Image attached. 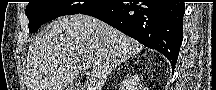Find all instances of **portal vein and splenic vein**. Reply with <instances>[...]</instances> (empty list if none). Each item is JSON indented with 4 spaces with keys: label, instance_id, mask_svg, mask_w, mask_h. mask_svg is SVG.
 Listing matches in <instances>:
<instances>
[{
    "label": "portal vein and splenic vein",
    "instance_id": "obj_1",
    "mask_svg": "<svg viewBox=\"0 0 216 90\" xmlns=\"http://www.w3.org/2000/svg\"><path fill=\"white\" fill-rule=\"evenodd\" d=\"M83 70H86V66H83Z\"/></svg>",
    "mask_w": 216,
    "mask_h": 90
}]
</instances>
